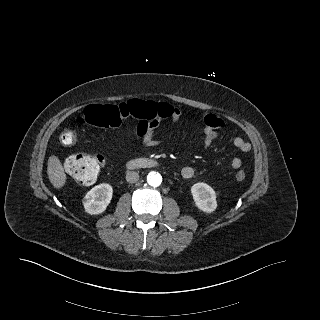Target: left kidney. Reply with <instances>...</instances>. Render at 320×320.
<instances>
[{"mask_svg":"<svg viewBox=\"0 0 320 320\" xmlns=\"http://www.w3.org/2000/svg\"><path fill=\"white\" fill-rule=\"evenodd\" d=\"M195 205L198 209L206 213H212L217 208L216 193L214 189L206 183L198 182L191 187Z\"/></svg>","mask_w":320,"mask_h":320,"instance_id":"left-kidney-1","label":"left kidney"}]
</instances>
